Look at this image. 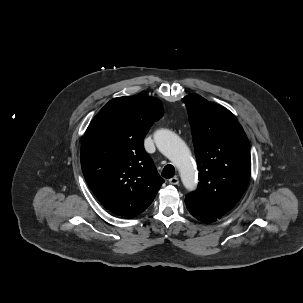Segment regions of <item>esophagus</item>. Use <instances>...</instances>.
Instances as JSON below:
<instances>
[{
    "label": "esophagus",
    "instance_id": "34e87169",
    "mask_svg": "<svg viewBox=\"0 0 303 303\" xmlns=\"http://www.w3.org/2000/svg\"><path fill=\"white\" fill-rule=\"evenodd\" d=\"M169 183L172 185H178L179 184V179L175 176L171 179H169Z\"/></svg>",
    "mask_w": 303,
    "mask_h": 303
}]
</instances>
